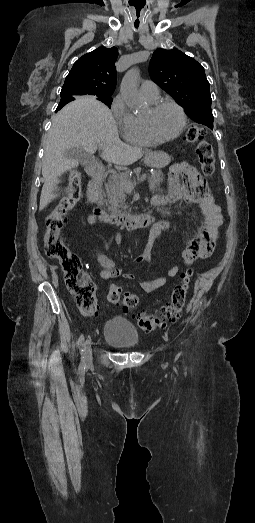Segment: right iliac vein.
Wrapping results in <instances>:
<instances>
[{
	"mask_svg": "<svg viewBox=\"0 0 255 523\" xmlns=\"http://www.w3.org/2000/svg\"><path fill=\"white\" fill-rule=\"evenodd\" d=\"M84 357L85 361H89L92 357V347L90 340H86L84 344Z\"/></svg>",
	"mask_w": 255,
	"mask_h": 523,
	"instance_id": "1",
	"label": "right iliac vein"
}]
</instances>
